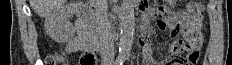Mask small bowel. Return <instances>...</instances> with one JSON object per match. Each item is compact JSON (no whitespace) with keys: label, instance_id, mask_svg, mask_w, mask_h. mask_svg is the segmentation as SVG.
I'll return each mask as SVG.
<instances>
[{"label":"small bowel","instance_id":"c3829d8e","mask_svg":"<svg viewBox=\"0 0 232 65\" xmlns=\"http://www.w3.org/2000/svg\"><path fill=\"white\" fill-rule=\"evenodd\" d=\"M141 10L143 11V22L146 25V28L143 29V36L139 39L138 44L144 48V64L145 65H179L175 62L166 60L161 63H155L151 58L148 39L151 36L153 29L150 27V20L153 17V12L147 8L145 5H141ZM158 27L161 30H166L171 34L177 35L186 31V16L183 13H174L167 20H159L157 22ZM78 31V29H77ZM203 43V39H202ZM201 43V47H202ZM66 50L69 53L76 51H87V40L79 33L77 37L70 40L66 46Z\"/></svg>","mask_w":232,"mask_h":65}]
</instances>
